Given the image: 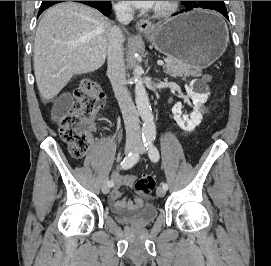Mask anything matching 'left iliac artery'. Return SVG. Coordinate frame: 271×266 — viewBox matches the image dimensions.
<instances>
[{
	"mask_svg": "<svg viewBox=\"0 0 271 266\" xmlns=\"http://www.w3.org/2000/svg\"><path fill=\"white\" fill-rule=\"evenodd\" d=\"M147 146V150H148V155L149 158L151 159V161L153 162H157L159 160V151L156 148V146L154 145V141L153 139H150L147 141L146 143ZM162 187L167 190L168 189V185L166 183H162Z\"/></svg>",
	"mask_w": 271,
	"mask_h": 266,
	"instance_id": "obj_1",
	"label": "left iliac artery"
}]
</instances>
